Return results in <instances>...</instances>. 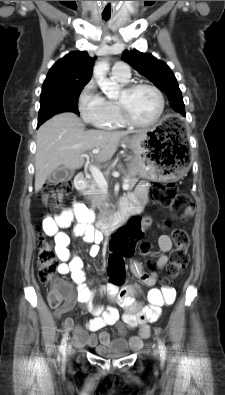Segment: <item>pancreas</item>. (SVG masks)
<instances>
[{"label": "pancreas", "mask_w": 225, "mask_h": 395, "mask_svg": "<svg viewBox=\"0 0 225 395\" xmlns=\"http://www.w3.org/2000/svg\"><path fill=\"white\" fill-rule=\"evenodd\" d=\"M138 180L139 179L136 178L135 176L127 175L124 179V182H127L129 184L128 190H132L133 187L138 182ZM89 182H90V189L84 191L83 194L87 195L88 198L91 199L92 208L97 207L102 212V208L107 205L105 203L107 198L103 190L99 187V185L95 182L94 179L90 180Z\"/></svg>", "instance_id": "obj_1"}]
</instances>
